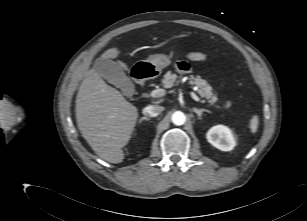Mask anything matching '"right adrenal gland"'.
Returning <instances> with one entry per match:
<instances>
[{
  "label": "right adrenal gland",
  "mask_w": 307,
  "mask_h": 221,
  "mask_svg": "<svg viewBox=\"0 0 307 221\" xmlns=\"http://www.w3.org/2000/svg\"><path fill=\"white\" fill-rule=\"evenodd\" d=\"M143 120H150V119L147 117H142L139 122H142Z\"/></svg>",
  "instance_id": "1"
}]
</instances>
